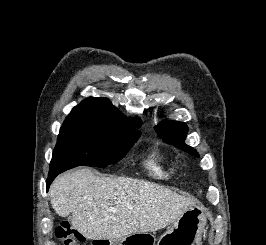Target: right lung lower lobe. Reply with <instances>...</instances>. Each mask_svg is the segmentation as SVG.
<instances>
[{"label": "right lung lower lobe", "mask_w": 266, "mask_h": 245, "mask_svg": "<svg viewBox=\"0 0 266 245\" xmlns=\"http://www.w3.org/2000/svg\"><path fill=\"white\" fill-rule=\"evenodd\" d=\"M59 174V172H49L48 179H47V190L49 188V185L54 180V178Z\"/></svg>", "instance_id": "98d812e1"}]
</instances>
